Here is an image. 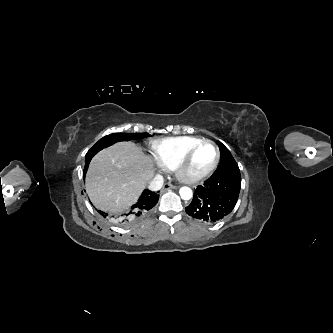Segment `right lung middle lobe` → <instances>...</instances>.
Returning a JSON list of instances; mask_svg holds the SVG:
<instances>
[{"instance_id":"obj_1","label":"right lung middle lobe","mask_w":333,"mask_h":333,"mask_svg":"<svg viewBox=\"0 0 333 333\" xmlns=\"http://www.w3.org/2000/svg\"><path fill=\"white\" fill-rule=\"evenodd\" d=\"M148 133H114L100 139L89 151L90 154H96L103 148H106L119 141L136 140L148 137Z\"/></svg>"}]
</instances>
